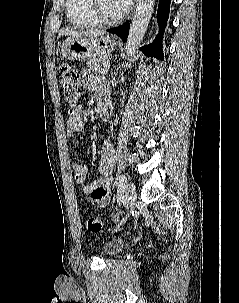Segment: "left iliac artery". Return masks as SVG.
<instances>
[{
    "label": "left iliac artery",
    "mask_w": 239,
    "mask_h": 303,
    "mask_svg": "<svg viewBox=\"0 0 239 303\" xmlns=\"http://www.w3.org/2000/svg\"><path fill=\"white\" fill-rule=\"evenodd\" d=\"M126 176L120 175L118 178V188H117V202L120 204L121 199L124 196L125 186H126Z\"/></svg>",
    "instance_id": "44dca946"
}]
</instances>
